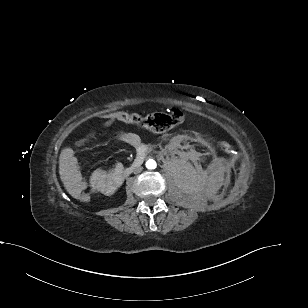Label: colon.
Segmentation results:
<instances>
[{
  "instance_id": "5ec220e1",
  "label": "colon",
  "mask_w": 308,
  "mask_h": 308,
  "mask_svg": "<svg viewBox=\"0 0 308 308\" xmlns=\"http://www.w3.org/2000/svg\"><path fill=\"white\" fill-rule=\"evenodd\" d=\"M110 118L121 122L135 124L155 133L166 132L178 126L182 122V113L172 109L166 112H156L147 115L138 113L116 112ZM221 149L226 153H232L233 148L230 143L222 141ZM74 198L82 203H88L91 196L87 191H81L74 195Z\"/></svg>"
}]
</instances>
